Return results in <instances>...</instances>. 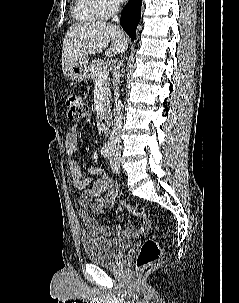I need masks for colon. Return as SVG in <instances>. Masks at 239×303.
I'll return each instance as SVG.
<instances>
[{
    "label": "colon",
    "instance_id": "obj_1",
    "mask_svg": "<svg viewBox=\"0 0 239 303\" xmlns=\"http://www.w3.org/2000/svg\"><path fill=\"white\" fill-rule=\"evenodd\" d=\"M66 108L68 119L72 122L78 121L88 114L87 103L79 95L72 94L68 96ZM118 205L132 213L134 216L143 219L145 225L148 226L151 217L142 206H132L124 200H119ZM159 258L160 247L157 240L155 238H148L143 242L138 252L136 267L137 269H143L157 262Z\"/></svg>",
    "mask_w": 239,
    "mask_h": 303
}]
</instances>
